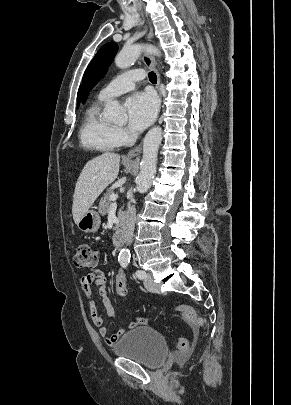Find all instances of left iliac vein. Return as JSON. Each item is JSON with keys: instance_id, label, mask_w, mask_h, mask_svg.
I'll return each mask as SVG.
<instances>
[{"instance_id": "obj_1", "label": "left iliac vein", "mask_w": 291, "mask_h": 405, "mask_svg": "<svg viewBox=\"0 0 291 405\" xmlns=\"http://www.w3.org/2000/svg\"><path fill=\"white\" fill-rule=\"evenodd\" d=\"M144 286L145 288L150 291V292H156L157 291V287L153 281V278L150 274H146L145 278H144Z\"/></svg>"}]
</instances>
